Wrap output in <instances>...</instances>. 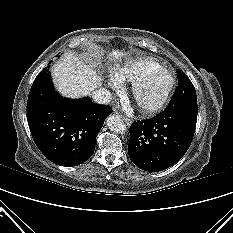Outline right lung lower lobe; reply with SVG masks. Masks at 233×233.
Listing matches in <instances>:
<instances>
[{"label": "right lung lower lobe", "mask_w": 233, "mask_h": 233, "mask_svg": "<svg viewBox=\"0 0 233 233\" xmlns=\"http://www.w3.org/2000/svg\"><path fill=\"white\" fill-rule=\"evenodd\" d=\"M112 108L90 98H62L54 89L51 73L36 78L27 101V120L33 140L50 161L77 166L95 150L96 137Z\"/></svg>", "instance_id": "right-lung-lower-lobe-1"}]
</instances>
